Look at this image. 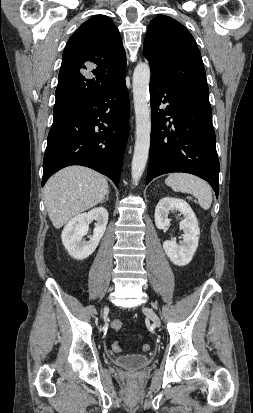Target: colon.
<instances>
[{
  "instance_id": "obj_1",
  "label": "colon",
  "mask_w": 253,
  "mask_h": 413,
  "mask_svg": "<svg viewBox=\"0 0 253 413\" xmlns=\"http://www.w3.org/2000/svg\"><path fill=\"white\" fill-rule=\"evenodd\" d=\"M122 326H123L122 322H121L120 320H118V319L113 320V321L111 322V328H112L113 330H115V331H119V330L122 328ZM112 348H113L115 351H120V350H121V347H120V345H119L117 342L113 343ZM150 348H151V345H150V344H144V345L142 346V350H143V351H149Z\"/></svg>"
}]
</instances>
